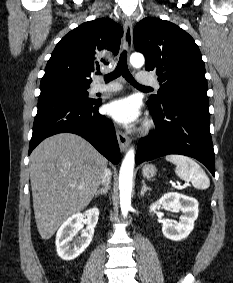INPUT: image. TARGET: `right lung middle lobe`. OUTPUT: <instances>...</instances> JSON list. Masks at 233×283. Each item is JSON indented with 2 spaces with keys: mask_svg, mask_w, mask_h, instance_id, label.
I'll list each match as a JSON object with an SVG mask.
<instances>
[{
  "mask_svg": "<svg viewBox=\"0 0 233 283\" xmlns=\"http://www.w3.org/2000/svg\"><path fill=\"white\" fill-rule=\"evenodd\" d=\"M89 86L79 85L66 80H50L44 81L40 84V95L45 94H66L84 99L88 98L87 89Z\"/></svg>",
  "mask_w": 233,
  "mask_h": 283,
  "instance_id": "right-lung-middle-lobe-1",
  "label": "right lung middle lobe"
}]
</instances>
